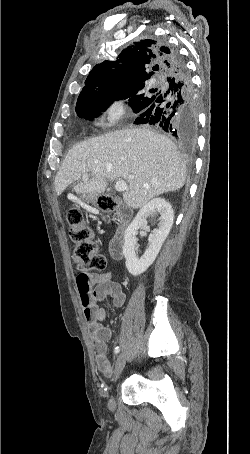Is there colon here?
<instances>
[{
    "label": "colon",
    "instance_id": "colon-1",
    "mask_svg": "<svg viewBox=\"0 0 250 454\" xmlns=\"http://www.w3.org/2000/svg\"><path fill=\"white\" fill-rule=\"evenodd\" d=\"M97 206L104 212L116 208V201L111 196L101 195L96 200ZM69 237L73 244V258L78 268L86 273L91 270H103L106 260L100 254L94 233L84 218L82 211L72 206L67 211Z\"/></svg>",
    "mask_w": 250,
    "mask_h": 454
}]
</instances>
